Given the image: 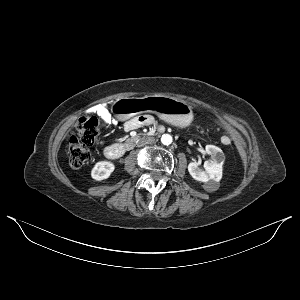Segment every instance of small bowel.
<instances>
[{
	"label": "small bowel",
	"mask_w": 300,
	"mask_h": 300,
	"mask_svg": "<svg viewBox=\"0 0 300 300\" xmlns=\"http://www.w3.org/2000/svg\"><path fill=\"white\" fill-rule=\"evenodd\" d=\"M91 112L99 115L100 117H102L104 119L108 118V112L101 106L93 107L91 109ZM144 123H145V121L141 120L140 118L139 119L135 118L128 122V128H130V129L137 128V127L142 126ZM222 142L224 144H228L230 142V139L225 136L222 138Z\"/></svg>",
	"instance_id": "c3829d8e"
}]
</instances>
